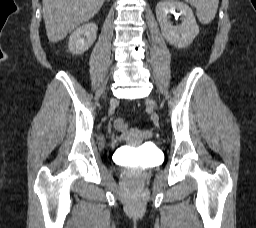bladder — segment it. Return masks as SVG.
<instances>
[{
    "label": "bladder",
    "instance_id": "1",
    "mask_svg": "<svg viewBox=\"0 0 256 228\" xmlns=\"http://www.w3.org/2000/svg\"><path fill=\"white\" fill-rule=\"evenodd\" d=\"M149 158H152V155H149Z\"/></svg>",
    "mask_w": 256,
    "mask_h": 228
}]
</instances>
